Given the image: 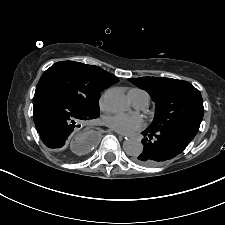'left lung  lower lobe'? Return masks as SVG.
Wrapping results in <instances>:
<instances>
[{
  "label": "left lung lower lobe",
  "mask_w": 225,
  "mask_h": 225,
  "mask_svg": "<svg viewBox=\"0 0 225 225\" xmlns=\"http://www.w3.org/2000/svg\"><path fill=\"white\" fill-rule=\"evenodd\" d=\"M200 124L185 123L161 131L142 132L143 151L134 157L137 163L158 166L184 151L199 130Z\"/></svg>",
  "instance_id": "1"
}]
</instances>
